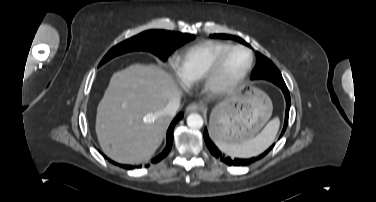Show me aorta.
Masks as SVG:
<instances>
[{"label":"aorta","instance_id":"obj_1","mask_svg":"<svg viewBox=\"0 0 376 202\" xmlns=\"http://www.w3.org/2000/svg\"><path fill=\"white\" fill-rule=\"evenodd\" d=\"M203 118L197 113H192L187 117V125L193 129H200L203 126Z\"/></svg>","mask_w":376,"mask_h":202}]
</instances>
